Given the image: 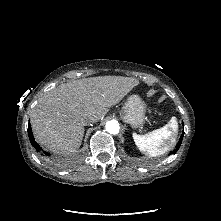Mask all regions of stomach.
I'll list each match as a JSON object with an SVG mask.
<instances>
[{
  "label": "stomach",
  "mask_w": 221,
  "mask_h": 221,
  "mask_svg": "<svg viewBox=\"0 0 221 221\" xmlns=\"http://www.w3.org/2000/svg\"><path fill=\"white\" fill-rule=\"evenodd\" d=\"M146 104L138 95H130L125 101L120 112L123 122L132 128L141 127L146 119Z\"/></svg>",
  "instance_id": "0dacf381"
}]
</instances>
